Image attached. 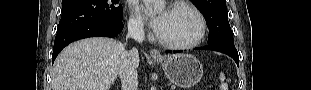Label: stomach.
Returning <instances> with one entry per match:
<instances>
[{"instance_id": "obj_1", "label": "stomach", "mask_w": 311, "mask_h": 90, "mask_svg": "<svg viewBox=\"0 0 311 90\" xmlns=\"http://www.w3.org/2000/svg\"><path fill=\"white\" fill-rule=\"evenodd\" d=\"M154 61L161 64L166 77L181 88H189L198 83L203 75V67L191 54H176Z\"/></svg>"}]
</instances>
